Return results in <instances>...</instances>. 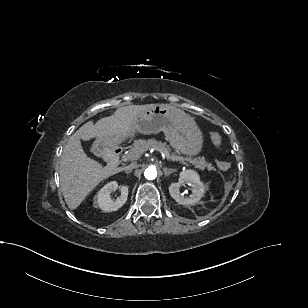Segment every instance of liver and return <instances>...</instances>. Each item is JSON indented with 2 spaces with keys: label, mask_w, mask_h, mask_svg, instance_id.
<instances>
[{
  "label": "liver",
  "mask_w": 308,
  "mask_h": 308,
  "mask_svg": "<svg viewBox=\"0 0 308 308\" xmlns=\"http://www.w3.org/2000/svg\"><path fill=\"white\" fill-rule=\"evenodd\" d=\"M155 105L120 107L113 115L104 117L95 124L88 121L69 138L61 156L59 175L61 190L70 209H76L101 181L122 170L110 165L103 167L101 163L88 157L81 140L124 137L132 132L135 117Z\"/></svg>",
  "instance_id": "liver-1"
}]
</instances>
